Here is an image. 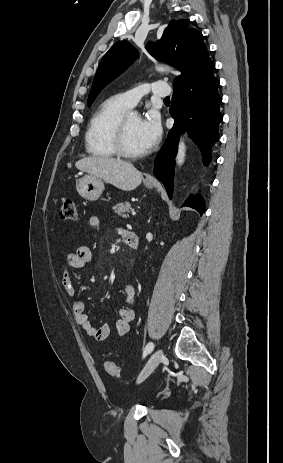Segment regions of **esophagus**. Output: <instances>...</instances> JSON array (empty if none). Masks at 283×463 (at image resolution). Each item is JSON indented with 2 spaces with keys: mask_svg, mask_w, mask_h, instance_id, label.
Instances as JSON below:
<instances>
[{
  "mask_svg": "<svg viewBox=\"0 0 283 463\" xmlns=\"http://www.w3.org/2000/svg\"><path fill=\"white\" fill-rule=\"evenodd\" d=\"M146 180H147V181H150V182H154V181H155V179H154L152 176H147V177H146Z\"/></svg>",
  "mask_w": 283,
  "mask_h": 463,
  "instance_id": "1",
  "label": "esophagus"
}]
</instances>
